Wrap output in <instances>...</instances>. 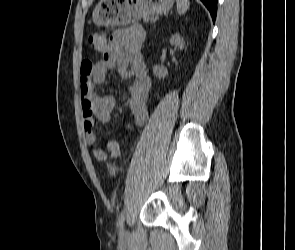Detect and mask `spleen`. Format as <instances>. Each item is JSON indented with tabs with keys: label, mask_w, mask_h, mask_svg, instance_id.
<instances>
[{
	"label": "spleen",
	"mask_w": 295,
	"mask_h": 250,
	"mask_svg": "<svg viewBox=\"0 0 295 250\" xmlns=\"http://www.w3.org/2000/svg\"><path fill=\"white\" fill-rule=\"evenodd\" d=\"M177 2V12L181 15L184 14L188 9L190 2L189 0H176Z\"/></svg>",
	"instance_id": "3e777b00"
}]
</instances>
